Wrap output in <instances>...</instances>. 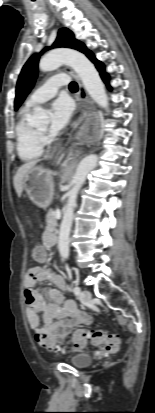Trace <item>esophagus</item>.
Returning <instances> with one entry per match:
<instances>
[{
	"instance_id": "esophagus-1",
	"label": "esophagus",
	"mask_w": 155,
	"mask_h": 413,
	"mask_svg": "<svg viewBox=\"0 0 155 413\" xmlns=\"http://www.w3.org/2000/svg\"><path fill=\"white\" fill-rule=\"evenodd\" d=\"M64 70H65L67 73H69L70 75H72V76L76 79V81L78 82L80 90H79V93H78V96H77V101H78V103H81V102L83 101V98H82V96H81L82 84H81L78 76H77L70 68H68V67H65ZM85 101L90 103V100H89L88 97L85 98ZM82 112H85V110L83 109ZM82 128H83V127H82Z\"/></svg>"
}]
</instances>
